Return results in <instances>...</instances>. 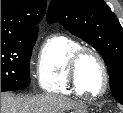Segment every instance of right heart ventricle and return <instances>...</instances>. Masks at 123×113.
<instances>
[{"mask_svg": "<svg viewBox=\"0 0 123 113\" xmlns=\"http://www.w3.org/2000/svg\"><path fill=\"white\" fill-rule=\"evenodd\" d=\"M81 47L71 37L52 34L43 42L37 60L39 87L51 93L79 94L71 83L69 62L74 52Z\"/></svg>", "mask_w": 123, "mask_h": 113, "instance_id": "right-heart-ventricle-1", "label": "right heart ventricle"}]
</instances>
